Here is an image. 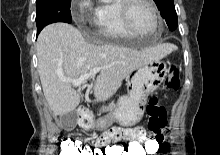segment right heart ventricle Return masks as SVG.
Wrapping results in <instances>:
<instances>
[{"instance_id": "e07e8e85", "label": "right heart ventricle", "mask_w": 220, "mask_h": 155, "mask_svg": "<svg viewBox=\"0 0 220 155\" xmlns=\"http://www.w3.org/2000/svg\"><path fill=\"white\" fill-rule=\"evenodd\" d=\"M121 0L101 1L95 9L97 35L104 40L133 37L123 24L120 13Z\"/></svg>"}]
</instances>
